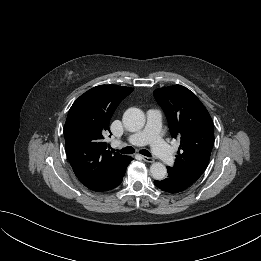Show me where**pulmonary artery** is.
<instances>
[{
    "label": "pulmonary artery",
    "mask_w": 261,
    "mask_h": 261,
    "mask_svg": "<svg viewBox=\"0 0 261 261\" xmlns=\"http://www.w3.org/2000/svg\"><path fill=\"white\" fill-rule=\"evenodd\" d=\"M128 142L141 146L150 144L153 152L165 165H171L174 161L173 154L161 137V113L156 109L147 112V123L143 130L131 134Z\"/></svg>",
    "instance_id": "obj_1"
}]
</instances>
